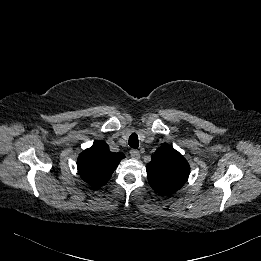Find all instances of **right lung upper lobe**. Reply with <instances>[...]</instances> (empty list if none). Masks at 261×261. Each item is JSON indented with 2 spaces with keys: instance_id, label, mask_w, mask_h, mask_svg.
Here are the masks:
<instances>
[{
  "instance_id": "obj_1",
  "label": "right lung upper lobe",
  "mask_w": 261,
  "mask_h": 261,
  "mask_svg": "<svg viewBox=\"0 0 261 261\" xmlns=\"http://www.w3.org/2000/svg\"><path fill=\"white\" fill-rule=\"evenodd\" d=\"M123 158V153L111 152L105 142L97 141L79 155V175L91 187L99 188L108 182Z\"/></svg>"
}]
</instances>
